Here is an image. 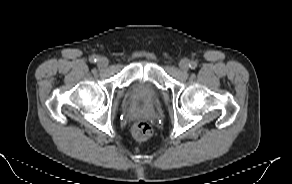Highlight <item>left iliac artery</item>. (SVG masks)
Wrapping results in <instances>:
<instances>
[{
    "instance_id": "44dca946",
    "label": "left iliac artery",
    "mask_w": 292,
    "mask_h": 184,
    "mask_svg": "<svg viewBox=\"0 0 292 184\" xmlns=\"http://www.w3.org/2000/svg\"><path fill=\"white\" fill-rule=\"evenodd\" d=\"M189 67H190L191 69H195V68L197 67V63H196L195 61H191V62L189 63Z\"/></svg>"
}]
</instances>
